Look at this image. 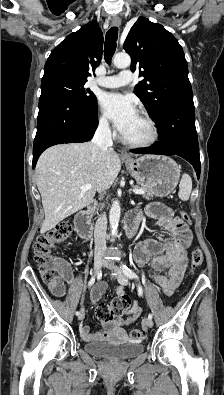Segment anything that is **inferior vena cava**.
<instances>
[{
    "label": "inferior vena cava",
    "mask_w": 224,
    "mask_h": 395,
    "mask_svg": "<svg viewBox=\"0 0 224 395\" xmlns=\"http://www.w3.org/2000/svg\"><path fill=\"white\" fill-rule=\"evenodd\" d=\"M92 142L97 145L101 151L103 158L105 154L112 149V137L109 123L106 119L99 122L98 128L94 134ZM106 229L107 218L106 214L102 213L96 223L94 229L95 253L104 252L106 249Z\"/></svg>",
    "instance_id": "inferior-vena-cava-1"
}]
</instances>
